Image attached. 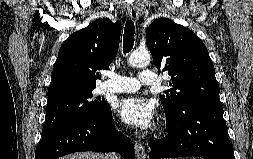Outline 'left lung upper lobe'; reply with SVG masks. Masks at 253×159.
<instances>
[{
    "instance_id": "1",
    "label": "left lung upper lobe",
    "mask_w": 253,
    "mask_h": 159,
    "mask_svg": "<svg viewBox=\"0 0 253 159\" xmlns=\"http://www.w3.org/2000/svg\"><path fill=\"white\" fill-rule=\"evenodd\" d=\"M146 43L157 69L163 67L171 76L173 88L160 95L166 117L173 118L194 103L220 105L214 65L194 32L160 18L148 27Z\"/></svg>"
}]
</instances>
